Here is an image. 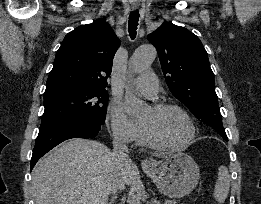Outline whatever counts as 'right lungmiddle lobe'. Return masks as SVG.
<instances>
[{"instance_id":"obj_1","label":"right lung middle lobe","mask_w":261,"mask_h":204,"mask_svg":"<svg viewBox=\"0 0 261 204\" xmlns=\"http://www.w3.org/2000/svg\"><path fill=\"white\" fill-rule=\"evenodd\" d=\"M108 94L106 90H62L44 94L42 122L69 118L89 117L105 121Z\"/></svg>"}]
</instances>
